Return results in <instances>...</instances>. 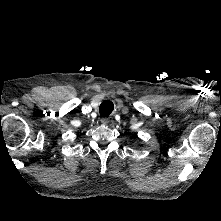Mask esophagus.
Here are the masks:
<instances>
[{
  "label": "esophagus",
  "mask_w": 221,
  "mask_h": 221,
  "mask_svg": "<svg viewBox=\"0 0 221 221\" xmlns=\"http://www.w3.org/2000/svg\"><path fill=\"white\" fill-rule=\"evenodd\" d=\"M100 122L103 124V125H107L109 123V119L108 118H102L100 120Z\"/></svg>",
  "instance_id": "obj_1"
}]
</instances>
